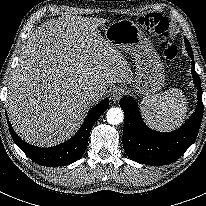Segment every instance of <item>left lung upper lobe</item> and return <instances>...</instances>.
Masks as SVG:
<instances>
[{
    "instance_id": "left-lung-upper-lobe-1",
    "label": "left lung upper lobe",
    "mask_w": 206,
    "mask_h": 206,
    "mask_svg": "<svg viewBox=\"0 0 206 206\" xmlns=\"http://www.w3.org/2000/svg\"><path fill=\"white\" fill-rule=\"evenodd\" d=\"M185 43H186V47H190V44H189L188 40L185 41Z\"/></svg>"
}]
</instances>
